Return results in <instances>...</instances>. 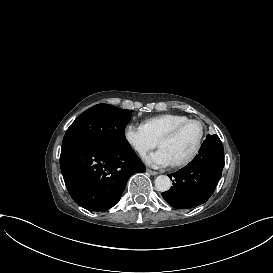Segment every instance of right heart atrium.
<instances>
[{
	"label": "right heart atrium",
	"instance_id": "1",
	"mask_svg": "<svg viewBox=\"0 0 273 273\" xmlns=\"http://www.w3.org/2000/svg\"><path fill=\"white\" fill-rule=\"evenodd\" d=\"M125 137L141 157L145 156L158 144V141L150 134L143 124H129L125 130Z\"/></svg>",
	"mask_w": 273,
	"mask_h": 273
}]
</instances>
